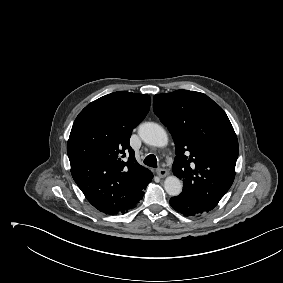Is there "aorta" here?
Wrapping results in <instances>:
<instances>
[{
	"label": "aorta",
	"instance_id": "762f6f07",
	"mask_svg": "<svg viewBox=\"0 0 283 283\" xmlns=\"http://www.w3.org/2000/svg\"><path fill=\"white\" fill-rule=\"evenodd\" d=\"M138 134L142 141L155 147H164L168 143L166 131L157 123L146 122L139 126ZM164 189L171 196L182 192V183L176 176H168L164 181Z\"/></svg>",
	"mask_w": 283,
	"mask_h": 283
}]
</instances>
